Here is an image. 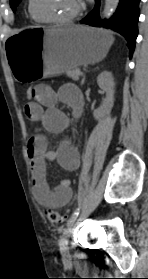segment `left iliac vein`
Returning a JSON list of instances; mask_svg holds the SVG:
<instances>
[{
  "label": "left iliac vein",
  "mask_w": 148,
  "mask_h": 279,
  "mask_svg": "<svg viewBox=\"0 0 148 279\" xmlns=\"http://www.w3.org/2000/svg\"><path fill=\"white\" fill-rule=\"evenodd\" d=\"M76 225V221H73L72 223L69 224V226L65 229L61 243H60V250L63 254V256L68 255V238L70 235L73 233L74 228Z\"/></svg>",
  "instance_id": "left-iliac-vein-1"
}]
</instances>
